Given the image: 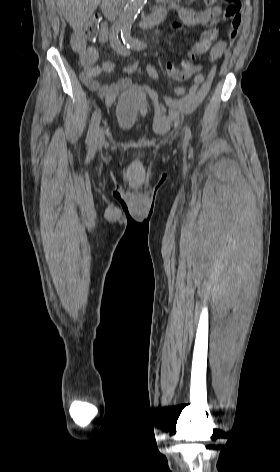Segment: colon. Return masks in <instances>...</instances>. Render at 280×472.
Returning <instances> with one entry per match:
<instances>
[{
  "mask_svg": "<svg viewBox=\"0 0 280 472\" xmlns=\"http://www.w3.org/2000/svg\"><path fill=\"white\" fill-rule=\"evenodd\" d=\"M209 2L215 3L216 0H210ZM227 8L225 10V19L230 22L232 27H236L241 22L240 10H241V1L240 0H226ZM99 30V23L97 19H91L86 23L81 29V33L90 39H93L97 36ZM166 74L177 81L187 80L192 76L193 64L190 62H184L181 67H176L172 64H167L165 67Z\"/></svg>",
  "mask_w": 280,
  "mask_h": 472,
  "instance_id": "1",
  "label": "colon"
}]
</instances>
